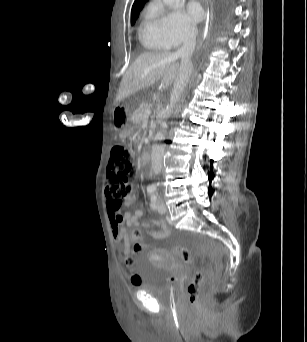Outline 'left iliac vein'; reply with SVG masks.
I'll return each instance as SVG.
<instances>
[{"mask_svg": "<svg viewBox=\"0 0 307 342\" xmlns=\"http://www.w3.org/2000/svg\"><path fill=\"white\" fill-rule=\"evenodd\" d=\"M157 210H158L160 213H165V212L167 211V208H166V206H165L163 200L158 201Z\"/></svg>", "mask_w": 307, "mask_h": 342, "instance_id": "obj_1", "label": "left iliac vein"}]
</instances>
